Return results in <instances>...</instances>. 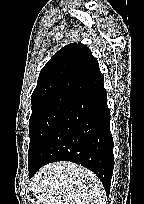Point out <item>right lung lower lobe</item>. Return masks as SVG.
Returning <instances> with one entry per match:
<instances>
[{"label":"right lung lower lobe","mask_w":144,"mask_h":204,"mask_svg":"<svg viewBox=\"0 0 144 204\" xmlns=\"http://www.w3.org/2000/svg\"><path fill=\"white\" fill-rule=\"evenodd\" d=\"M54 161H71L88 168L99 177L109 194L114 156L110 110L103 83L74 98L28 167L29 178Z\"/></svg>","instance_id":"right-lung-lower-lobe-1"}]
</instances>
